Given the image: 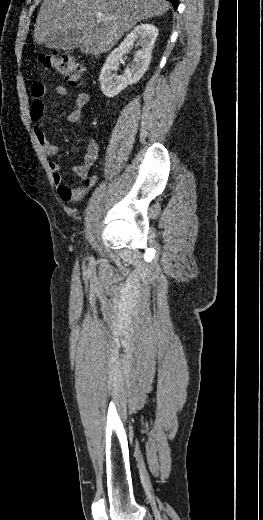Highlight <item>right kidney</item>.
<instances>
[{"instance_id": "right-kidney-1", "label": "right kidney", "mask_w": 263, "mask_h": 520, "mask_svg": "<svg viewBox=\"0 0 263 520\" xmlns=\"http://www.w3.org/2000/svg\"><path fill=\"white\" fill-rule=\"evenodd\" d=\"M157 36L158 29L154 25L141 24L109 54L99 76L101 90L105 96L113 98L128 85L138 82L143 77L149 67ZM133 46H140L141 49L135 53L133 65L127 67L123 75L118 76L116 71L119 61Z\"/></svg>"}]
</instances>
